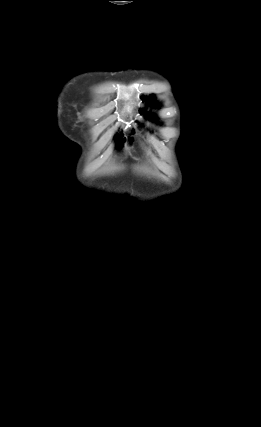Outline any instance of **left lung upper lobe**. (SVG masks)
Here are the masks:
<instances>
[{"label":"left lung upper lobe","instance_id":"1","mask_svg":"<svg viewBox=\"0 0 261 427\" xmlns=\"http://www.w3.org/2000/svg\"><path fill=\"white\" fill-rule=\"evenodd\" d=\"M153 101H154V98L151 96V97H149L148 99H147V103L148 104H152L153 103ZM148 118L149 119H151V120H154L155 119V116L153 115V114H149L148 115Z\"/></svg>","mask_w":261,"mask_h":427}]
</instances>
